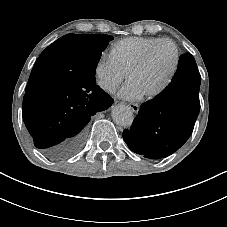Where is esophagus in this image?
<instances>
[{"label":"esophagus","instance_id":"34e87169","mask_svg":"<svg viewBox=\"0 0 227 227\" xmlns=\"http://www.w3.org/2000/svg\"><path fill=\"white\" fill-rule=\"evenodd\" d=\"M127 106L134 112L137 113L139 111L140 106L136 103H129Z\"/></svg>","mask_w":227,"mask_h":227}]
</instances>
